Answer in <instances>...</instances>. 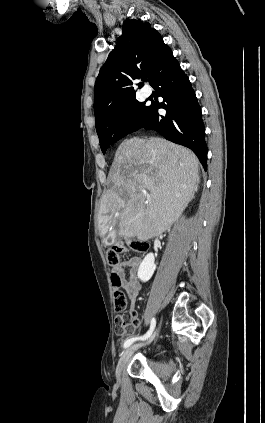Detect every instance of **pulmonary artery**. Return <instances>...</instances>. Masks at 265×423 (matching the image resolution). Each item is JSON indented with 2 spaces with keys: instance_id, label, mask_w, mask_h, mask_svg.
<instances>
[{
  "instance_id": "1",
  "label": "pulmonary artery",
  "mask_w": 265,
  "mask_h": 423,
  "mask_svg": "<svg viewBox=\"0 0 265 423\" xmlns=\"http://www.w3.org/2000/svg\"><path fill=\"white\" fill-rule=\"evenodd\" d=\"M142 93L144 96L149 97L152 93V90L149 87H144L142 89Z\"/></svg>"
}]
</instances>
